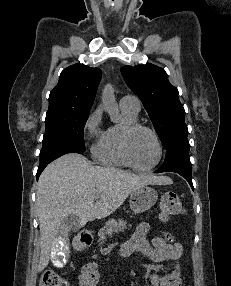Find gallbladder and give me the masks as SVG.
Here are the masks:
<instances>
[{
    "label": "gallbladder",
    "instance_id": "bac80fb5",
    "mask_svg": "<svg viewBox=\"0 0 231 286\" xmlns=\"http://www.w3.org/2000/svg\"><path fill=\"white\" fill-rule=\"evenodd\" d=\"M80 228V219L77 217V214L71 213L66 214V217L63 219L62 222H60L59 229L62 230L64 235L57 236L56 239L58 240H52L53 247H51V263L55 267H65V265L68 263L69 259V253L70 249L68 245V239L69 234L66 233L67 231L71 230H79Z\"/></svg>",
    "mask_w": 231,
    "mask_h": 286
}]
</instances>
